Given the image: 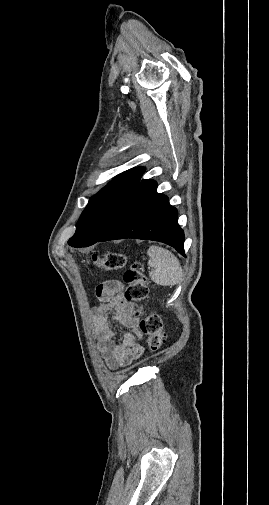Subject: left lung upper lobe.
Segmentation results:
<instances>
[{
  "label": "left lung upper lobe",
  "mask_w": 269,
  "mask_h": 505,
  "mask_svg": "<svg viewBox=\"0 0 269 505\" xmlns=\"http://www.w3.org/2000/svg\"><path fill=\"white\" fill-rule=\"evenodd\" d=\"M145 168H133L115 177L94 195L76 224L69 239L72 247H87L96 243L112 226L136 190Z\"/></svg>",
  "instance_id": "5c2ea615"
}]
</instances>
